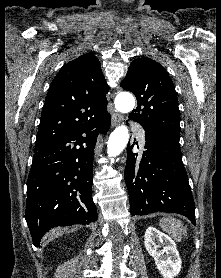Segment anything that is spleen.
Listing matches in <instances>:
<instances>
[{
	"mask_svg": "<svg viewBox=\"0 0 221 278\" xmlns=\"http://www.w3.org/2000/svg\"><path fill=\"white\" fill-rule=\"evenodd\" d=\"M159 226L177 241H181L183 235H186L187 232L182 222L175 218H162Z\"/></svg>",
	"mask_w": 221,
	"mask_h": 278,
	"instance_id": "3e777b00",
	"label": "spleen"
}]
</instances>
